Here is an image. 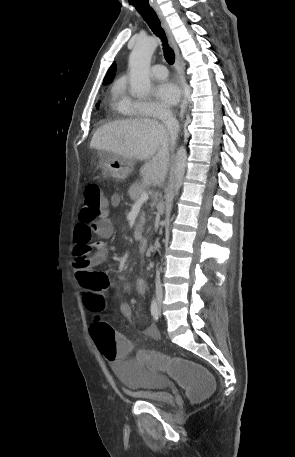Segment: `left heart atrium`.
<instances>
[{
	"instance_id": "left-heart-atrium-1",
	"label": "left heart atrium",
	"mask_w": 295,
	"mask_h": 457,
	"mask_svg": "<svg viewBox=\"0 0 295 457\" xmlns=\"http://www.w3.org/2000/svg\"><path fill=\"white\" fill-rule=\"evenodd\" d=\"M155 95L164 105L172 106L179 101L180 91L175 83L165 81L156 87Z\"/></svg>"
}]
</instances>
